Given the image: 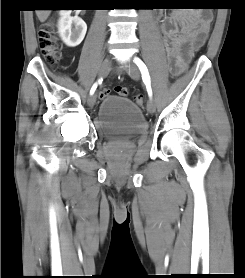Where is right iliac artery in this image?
<instances>
[{"label": "right iliac artery", "mask_w": 245, "mask_h": 278, "mask_svg": "<svg viewBox=\"0 0 245 278\" xmlns=\"http://www.w3.org/2000/svg\"><path fill=\"white\" fill-rule=\"evenodd\" d=\"M101 81H102V79L99 80V82H101ZM96 88H97V83H95V84L92 86V88H91V90H90V94H91V95L95 92Z\"/></svg>", "instance_id": "82829eb1"}]
</instances>
